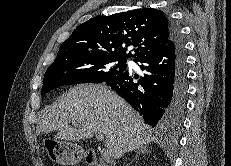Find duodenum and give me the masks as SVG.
I'll use <instances>...</instances> for the list:
<instances>
[{
    "instance_id": "obj_1",
    "label": "duodenum",
    "mask_w": 231,
    "mask_h": 166,
    "mask_svg": "<svg viewBox=\"0 0 231 166\" xmlns=\"http://www.w3.org/2000/svg\"><path fill=\"white\" fill-rule=\"evenodd\" d=\"M84 162L87 166H100L101 159L95 152L88 151L85 155Z\"/></svg>"
}]
</instances>
